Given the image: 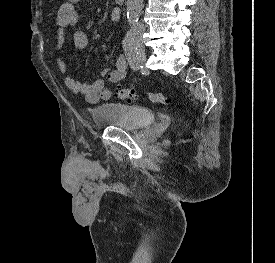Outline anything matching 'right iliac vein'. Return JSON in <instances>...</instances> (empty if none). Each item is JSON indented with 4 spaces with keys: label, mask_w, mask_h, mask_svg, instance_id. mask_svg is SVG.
Returning <instances> with one entry per match:
<instances>
[{
    "label": "right iliac vein",
    "mask_w": 275,
    "mask_h": 263,
    "mask_svg": "<svg viewBox=\"0 0 275 263\" xmlns=\"http://www.w3.org/2000/svg\"><path fill=\"white\" fill-rule=\"evenodd\" d=\"M134 43L136 47L138 48L139 54L141 57H145V47L143 45V42L141 39H135Z\"/></svg>",
    "instance_id": "right-iliac-vein-1"
}]
</instances>
